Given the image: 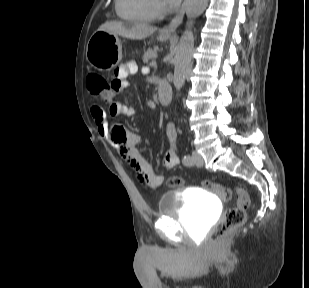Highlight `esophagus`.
<instances>
[{
	"label": "esophagus",
	"instance_id": "1",
	"mask_svg": "<svg viewBox=\"0 0 309 288\" xmlns=\"http://www.w3.org/2000/svg\"><path fill=\"white\" fill-rule=\"evenodd\" d=\"M185 9H186V2H184L182 4L181 9L179 10V12L173 17V19L170 21L169 24H167L166 26H164L161 29V34L166 35V36H170L173 35L176 32V29L179 27V25L181 24L184 14H185Z\"/></svg>",
	"mask_w": 309,
	"mask_h": 288
}]
</instances>
